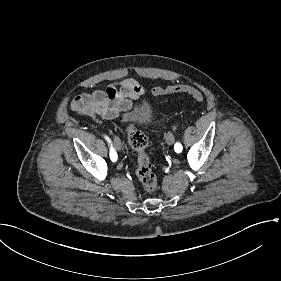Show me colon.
<instances>
[{
    "label": "colon",
    "mask_w": 281,
    "mask_h": 281,
    "mask_svg": "<svg viewBox=\"0 0 281 281\" xmlns=\"http://www.w3.org/2000/svg\"><path fill=\"white\" fill-rule=\"evenodd\" d=\"M187 93L196 101H203L204 95L194 88L188 86L173 85L168 88L156 87L152 90L154 95L170 94L174 92ZM130 141L137 155L136 174L141 182L143 190L148 194H153L158 188L155 173L152 170L149 154L147 152V140L145 135L139 130L132 128Z\"/></svg>",
    "instance_id": "5ec220e1"
}]
</instances>
